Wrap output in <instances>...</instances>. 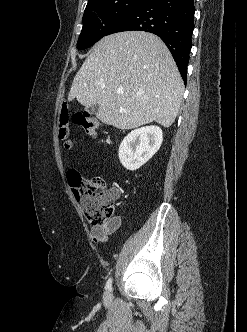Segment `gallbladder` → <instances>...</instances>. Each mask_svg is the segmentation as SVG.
<instances>
[{
    "label": "gallbladder",
    "mask_w": 247,
    "mask_h": 332,
    "mask_svg": "<svg viewBox=\"0 0 247 332\" xmlns=\"http://www.w3.org/2000/svg\"><path fill=\"white\" fill-rule=\"evenodd\" d=\"M98 110H99V105L98 104H95L91 107L86 108V111H88L91 114H96L98 112Z\"/></svg>",
    "instance_id": "1"
}]
</instances>
